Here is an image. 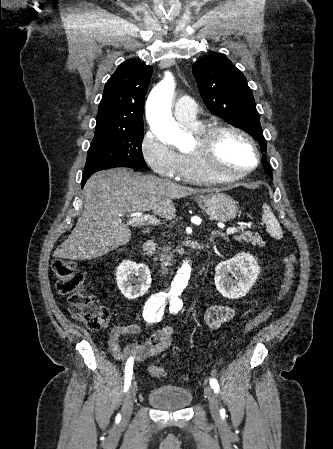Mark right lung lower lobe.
<instances>
[{"label":"right lung lower lobe","instance_id":"98d812e1","mask_svg":"<svg viewBox=\"0 0 333 449\" xmlns=\"http://www.w3.org/2000/svg\"><path fill=\"white\" fill-rule=\"evenodd\" d=\"M92 174H93V172H88V173L84 172V173H83V178H82V182H81L82 187L84 186V184L86 183L87 179H88Z\"/></svg>","mask_w":333,"mask_h":449}]
</instances>
